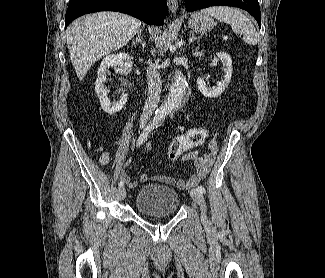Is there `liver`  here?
<instances>
[{
  "label": "liver",
  "mask_w": 325,
  "mask_h": 278,
  "mask_svg": "<svg viewBox=\"0 0 325 278\" xmlns=\"http://www.w3.org/2000/svg\"><path fill=\"white\" fill-rule=\"evenodd\" d=\"M141 21L118 12H99L74 22L67 34L72 64L81 81L90 67L134 37Z\"/></svg>",
  "instance_id": "1"
}]
</instances>
